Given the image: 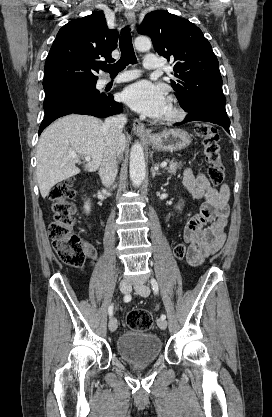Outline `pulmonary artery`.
Segmentation results:
<instances>
[{"label":"pulmonary artery","mask_w":272,"mask_h":417,"mask_svg":"<svg viewBox=\"0 0 272 417\" xmlns=\"http://www.w3.org/2000/svg\"><path fill=\"white\" fill-rule=\"evenodd\" d=\"M143 66L147 70L158 69L160 67L158 57L154 54L146 55L145 58H144ZM138 76H139L138 72L135 71V70H132V71H129V72H126V73H123V74L117 76L114 79V82L119 83V82L130 81L132 79L137 78Z\"/></svg>","instance_id":"pulmonary-artery-1"}]
</instances>
